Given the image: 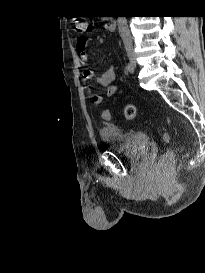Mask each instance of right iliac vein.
<instances>
[{
	"label": "right iliac vein",
	"instance_id": "right-iliac-vein-1",
	"mask_svg": "<svg viewBox=\"0 0 205 273\" xmlns=\"http://www.w3.org/2000/svg\"><path fill=\"white\" fill-rule=\"evenodd\" d=\"M127 56L133 67H136L135 54L132 50H127Z\"/></svg>",
	"mask_w": 205,
	"mask_h": 273
}]
</instances>
